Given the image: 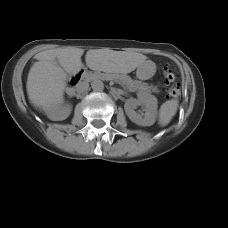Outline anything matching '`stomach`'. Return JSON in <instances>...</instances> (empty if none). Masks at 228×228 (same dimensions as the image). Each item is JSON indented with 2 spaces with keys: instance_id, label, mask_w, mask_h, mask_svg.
<instances>
[{
  "instance_id": "0dacf381",
  "label": "stomach",
  "mask_w": 228,
  "mask_h": 228,
  "mask_svg": "<svg viewBox=\"0 0 228 228\" xmlns=\"http://www.w3.org/2000/svg\"><path fill=\"white\" fill-rule=\"evenodd\" d=\"M154 72V65L151 62H147L144 65L137 68L136 76L140 80H147L154 75Z\"/></svg>"
}]
</instances>
